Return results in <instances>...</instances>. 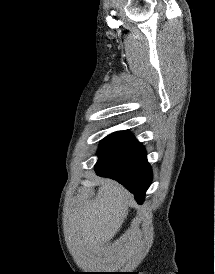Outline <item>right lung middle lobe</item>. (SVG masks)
I'll use <instances>...</instances> for the list:
<instances>
[{
    "label": "right lung middle lobe",
    "instance_id": "1",
    "mask_svg": "<svg viewBox=\"0 0 215 274\" xmlns=\"http://www.w3.org/2000/svg\"><path fill=\"white\" fill-rule=\"evenodd\" d=\"M137 143V139L128 131L114 132L101 141L98 161L104 166H111L125 157Z\"/></svg>",
    "mask_w": 215,
    "mask_h": 274
}]
</instances>
